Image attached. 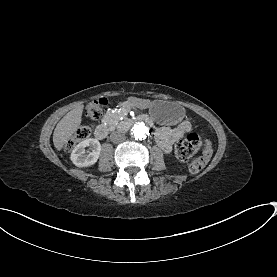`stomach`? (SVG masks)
Returning a JSON list of instances; mask_svg holds the SVG:
<instances>
[{
	"label": "stomach",
	"mask_w": 277,
	"mask_h": 277,
	"mask_svg": "<svg viewBox=\"0 0 277 277\" xmlns=\"http://www.w3.org/2000/svg\"><path fill=\"white\" fill-rule=\"evenodd\" d=\"M131 102L139 108H148L151 117L162 125H176L182 121L185 115L184 108L174 102L137 98H132Z\"/></svg>",
	"instance_id": "0dacf381"
}]
</instances>
